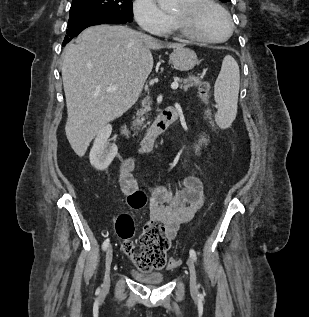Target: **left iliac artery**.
<instances>
[{
  "mask_svg": "<svg viewBox=\"0 0 309 317\" xmlns=\"http://www.w3.org/2000/svg\"><path fill=\"white\" fill-rule=\"evenodd\" d=\"M190 257L193 259V261L197 262V255L194 249H190Z\"/></svg>",
  "mask_w": 309,
  "mask_h": 317,
  "instance_id": "1",
  "label": "left iliac artery"
}]
</instances>
